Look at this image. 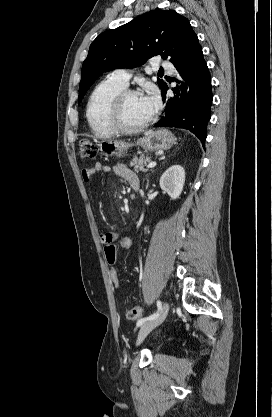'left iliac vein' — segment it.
<instances>
[{
  "mask_svg": "<svg viewBox=\"0 0 272 417\" xmlns=\"http://www.w3.org/2000/svg\"><path fill=\"white\" fill-rule=\"evenodd\" d=\"M169 311V303L165 302L158 316L144 323L138 333L137 345L157 326H159L166 318Z\"/></svg>",
  "mask_w": 272,
  "mask_h": 417,
  "instance_id": "4c4485c4",
  "label": "left iliac vein"
}]
</instances>
